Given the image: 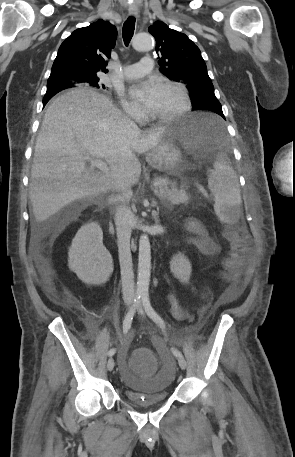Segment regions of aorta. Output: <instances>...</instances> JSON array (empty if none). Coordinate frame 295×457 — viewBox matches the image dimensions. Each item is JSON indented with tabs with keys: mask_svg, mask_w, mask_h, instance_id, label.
Returning <instances> with one entry per match:
<instances>
[{
	"mask_svg": "<svg viewBox=\"0 0 295 457\" xmlns=\"http://www.w3.org/2000/svg\"><path fill=\"white\" fill-rule=\"evenodd\" d=\"M132 46L137 51L150 50L153 47V37L148 33H138L133 37ZM138 258L136 290L140 295L148 294L151 270V248L149 238L146 234L140 236Z\"/></svg>",
	"mask_w": 295,
	"mask_h": 457,
	"instance_id": "762f6f07",
	"label": "aorta"
}]
</instances>
